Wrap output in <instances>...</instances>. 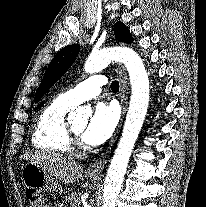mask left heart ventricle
Segmentation results:
<instances>
[{"label": "left heart ventricle", "mask_w": 206, "mask_h": 207, "mask_svg": "<svg viewBox=\"0 0 206 207\" xmlns=\"http://www.w3.org/2000/svg\"><path fill=\"white\" fill-rule=\"evenodd\" d=\"M85 127H86V123H83V124H77V125H73L72 128L73 130L78 133V134H82L83 131L85 130Z\"/></svg>", "instance_id": "1"}]
</instances>
